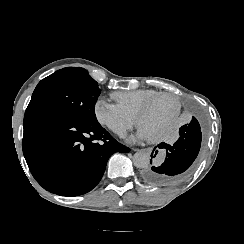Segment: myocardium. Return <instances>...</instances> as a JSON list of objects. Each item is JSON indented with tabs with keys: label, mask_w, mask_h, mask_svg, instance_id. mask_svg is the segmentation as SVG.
<instances>
[{
	"label": "myocardium",
	"mask_w": 244,
	"mask_h": 244,
	"mask_svg": "<svg viewBox=\"0 0 244 244\" xmlns=\"http://www.w3.org/2000/svg\"><path fill=\"white\" fill-rule=\"evenodd\" d=\"M122 93V92H121ZM120 93V94H121ZM155 99V100H154ZM151 98L148 102H146L142 107V109H141V111H140V113L138 114V116H137V122L139 123V124H141V122H142V118L144 117V116H146L147 114H148V110L150 109V108H152L156 103H158L160 100H164V99H171V100H173L174 102H175V104H176V108H175V110L172 112H170L169 113V115H170V117L169 118H167V119H165L164 120V122H165V125H166V127L168 126V125H170V124H172L173 123V121L175 120V118H176V116H177V114H178V112H179V110H180V101H179V98L176 96V95H174V94H170V93H162L160 96H156L155 98ZM156 103H155V102ZM161 139V138H160ZM159 139V140H160Z\"/></svg>",
	"instance_id": "obj_1"
}]
</instances>
